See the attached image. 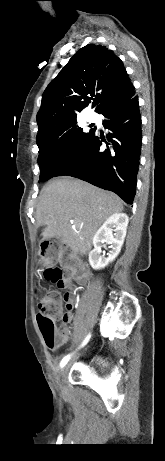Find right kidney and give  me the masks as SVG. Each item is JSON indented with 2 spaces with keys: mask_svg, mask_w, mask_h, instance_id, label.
I'll return each instance as SVG.
<instances>
[{
  "mask_svg": "<svg viewBox=\"0 0 165 461\" xmlns=\"http://www.w3.org/2000/svg\"><path fill=\"white\" fill-rule=\"evenodd\" d=\"M128 216L125 213L111 215L99 228L93 238L94 249L89 253V263L95 270L102 269L119 254L126 236ZM110 245L108 258L101 256V247Z\"/></svg>",
  "mask_w": 165,
  "mask_h": 461,
  "instance_id": "ca27d5eb",
  "label": "right kidney"
}]
</instances>
